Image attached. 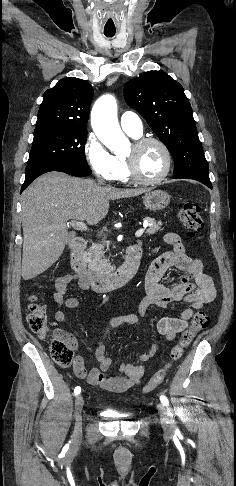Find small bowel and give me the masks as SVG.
Wrapping results in <instances>:
<instances>
[{
    "mask_svg": "<svg viewBox=\"0 0 236 486\" xmlns=\"http://www.w3.org/2000/svg\"><path fill=\"white\" fill-rule=\"evenodd\" d=\"M164 241L173 249L152 262L145 278L146 295L139 303L138 313L114 317L109 321L108 327L140 324L148 317V310L152 306L167 309L172 303L186 302L189 307L185 308L179 316L163 317L157 322L158 334L171 341L188 327L189 320L197 311L215 299L216 288L212 278L204 272L201 260L194 259L186 253L181 237L171 232L164 236ZM170 269H177L183 274L172 285L164 286L160 284V280ZM73 282H77L81 289H88L86 282L74 272L56 279L53 299L57 307L54 314L57 322L66 320L65 309H73L79 305L77 298H65L68 287ZM55 333L73 349L77 348V340L71 333L62 329L55 330ZM158 348V342H153L149 351L140 355L139 364L122 365L120 374L110 377L105 372L109 369L111 360L105 353V346L98 343L95 351L98 367H93L87 373L83 358L78 355L74 360L73 371L76 377L86 378L87 382L94 387L115 393L125 392L139 384L146 371L145 363L155 355Z\"/></svg>",
    "mask_w": 236,
    "mask_h": 486,
    "instance_id": "small-bowel-1",
    "label": "small bowel"
}]
</instances>
